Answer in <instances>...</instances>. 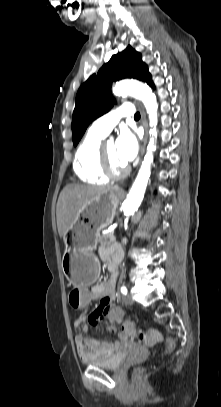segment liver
Returning a JSON list of instances; mask_svg holds the SVG:
<instances>
[{
  "instance_id": "6515ba94",
  "label": "liver",
  "mask_w": 221,
  "mask_h": 407,
  "mask_svg": "<svg viewBox=\"0 0 221 407\" xmlns=\"http://www.w3.org/2000/svg\"><path fill=\"white\" fill-rule=\"evenodd\" d=\"M110 187L69 184L59 195L56 217L60 237L78 218L82 209L95 196L110 190Z\"/></svg>"
}]
</instances>
